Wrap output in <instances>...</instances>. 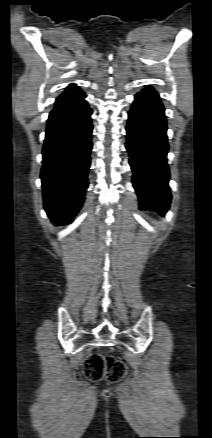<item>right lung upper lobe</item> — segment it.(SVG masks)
Returning <instances> with one entry per match:
<instances>
[{"label":"right lung upper lobe","mask_w":212,"mask_h":438,"mask_svg":"<svg viewBox=\"0 0 212 438\" xmlns=\"http://www.w3.org/2000/svg\"><path fill=\"white\" fill-rule=\"evenodd\" d=\"M82 93L83 91L80 90L75 84H71L56 100L73 97Z\"/></svg>","instance_id":"right-lung-upper-lobe-1"}]
</instances>
